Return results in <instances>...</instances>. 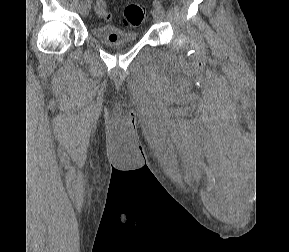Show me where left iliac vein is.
I'll return each mask as SVG.
<instances>
[{
	"label": "left iliac vein",
	"instance_id": "4c4485c4",
	"mask_svg": "<svg viewBox=\"0 0 289 252\" xmlns=\"http://www.w3.org/2000/svg\"><path fill=\"white\" fill-rule=\"evenodd\" d=\"M152 16L155 21H161L164 16V11L162 8L154 7L152 10Z\"/></svg>",
	"mask_w": 289,
	"mask_h": 252
}]
</instances>
